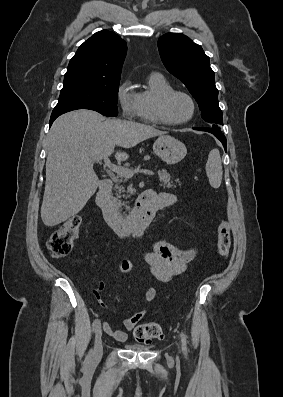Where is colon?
I'll list each match as a JSON object with an SVG mask.
<instances>
[{
    "mask_svg": "<svg viewBox=\"0 0 283 397\" xmlns=\"http://www.w3.org/2000/svg\"><path fill=\"white\" fill-rule=\"evenodd\" d=\"M81 229V217L71 216L57 229L47 242L48 250L56 258L68 255L73 249ZM217 247L220 257L224 260L231 247V226L227 220H222L218 227ZM133 337L138 343H148L154 339L163 338L161 327L157 323H145L135 327Z\"/></svg>",
    "mask_w": 283,
    "mask_h": 397,
    "instance_id": "colon-1",
    "label": "colon"
}]
</instances>
